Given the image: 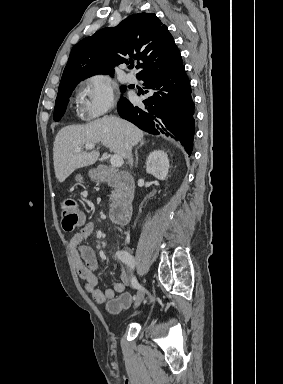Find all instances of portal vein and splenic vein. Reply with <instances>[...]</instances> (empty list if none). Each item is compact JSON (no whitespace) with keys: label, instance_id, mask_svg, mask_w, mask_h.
Returning a JSON list of instances; mask_svg holds the SVG:
<instances>
[{"label":"portal vein and splenic vein","instance_id":"portal-vein-and-splenic-vein-1","mask_svg":"<svg viewBox=\"0 0 283 384\" xmlns=\"http://www.w3.org/2000/svg\"><path fill=\"white\" fill-rule=\"evenodd\" d=\"M95 144H85V150H93ZM75 152H81V148H77ZM113 168H121L123 164V158L121 156H118V154H114L110 160Z\"/></svg>","mask_w":283,"mask_h":384}]
</instances>
